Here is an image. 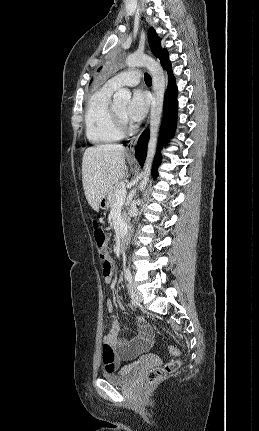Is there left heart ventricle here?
I'll list each match as a JSON object with an SVG mask.
<instances>
[{
  "label": "left heart ventricle",
  "mask_w": 259,
  "mask_h": 431,
  "mask_svg": "<svg viewBox=\"0 0 259 431\" xmlns=\"http://www.w3.org/2000/svg\"><path fill=\"white\" fill-rule=\"evenodd\" d=\"M114 108H115V110H116V111H117V112H118L122 117H124V118H125V116H124V114H125V110H126V105H125V104L115 106Z\"/></svg>",
  "instance_id": "obj_1"
}]
</instances>
